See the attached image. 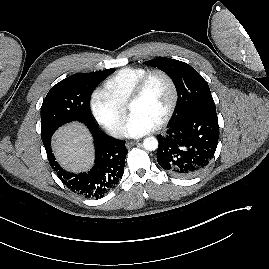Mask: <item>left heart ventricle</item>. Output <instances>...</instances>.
<instances>
[{
	"label": "left heart ventricle",
	"instance_id": "1",
	"mask_svg": "<svg viewBox=\"0 0 269 269\" xmlns=\"http://www.w3.org/2000/svg\"><path fill=\"white\" fill-rule=\"evenodd\" d=\"M171 90L167 81L161 76H154L143 96L130 107L132 114H139L157 124L168 109Z\"/></svg>",
	"mask_w": 269,
	"mask_h": 269
}]
</instances>
